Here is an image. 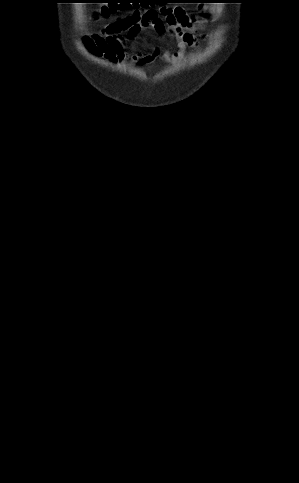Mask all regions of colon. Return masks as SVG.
<instances>
[{
	"label": "colon",
	"instance_id": "obj_1",
	"mask_svg": "<svg viewBox=\"0 0 299 483\" xmlns=\"http://www.w3.org/2000/svg\"><path fill=\"white\" fill-rule=\"evenodd\" d=\"M99 3L96 14L103 17L114 15L119 10L125 9L128 6V3H125V1L117 0H103Z\"/></svg>",
	"mask_w": 299,
	"mask_h": 483
}]
</instances>
